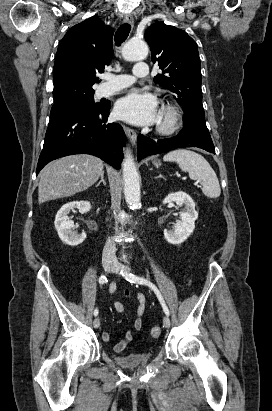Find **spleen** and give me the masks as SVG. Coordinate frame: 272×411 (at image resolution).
I'll use <instances>...</instances> for the list:
<instances>
[{
	"mask_svg": "<svg viewBox=\"0 0 272 411\" xmlns=\"http://www.w3.org/2000/svg\"><path fill=\"white\" fill-rule=\"evenodd\" d=\"M163 160L176 162L182 171L188 172L191 179L200 182L202 191L208 198L220 196L216 173L202 155L187 149H177L167 153Z\"/></svg>",
	"mask_w": 272,
	"mask_h": 411,
	"instance_id": "1",
	"label": "spleen"
}]
</instances>
